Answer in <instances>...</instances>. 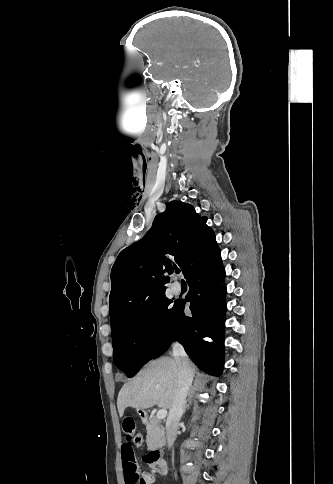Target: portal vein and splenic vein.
Returning <instances> with one entry per match:
<instances>
[{
	"label": "portal vein and splenic vein",
	"mask_w": 333,
	"mask_h": 484,
	"mask_svg": "<svg viewBox=\"0 0 333 484\" xmlns=\"http://www.w3.org/2000/svg\"><path fill=\"white\" fill-rule=\"evenodd\" d=\"M167 415V410L166 409H160L157 414H156V418L158 420H161V419H164Z\"/></svg>",
	"instance_id": "1"
}]
</instances>
